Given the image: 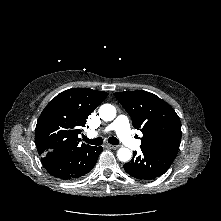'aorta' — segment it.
I'll use <instances>...</instances> for the list:
<instances>
[{"instance_id":"obj_1","label":"aorta","mask_w":221,"mask_h":221,"mask_svg":"<svg viewBox=\"0 0 221 221\" xmlns=\"http://www.w3.org/2000/svg\"><path fill=\"white\" fill-rule=\"evenodd\" d=\"M99 116L104 121H112L116 117V109L111 104H104L99 108ZM118 159L127 162L131 159L132 153L128 148H120L117 152Z\"/></svg>"}]
</instances>
